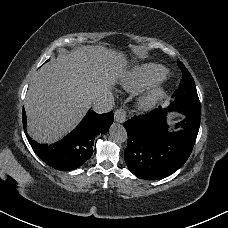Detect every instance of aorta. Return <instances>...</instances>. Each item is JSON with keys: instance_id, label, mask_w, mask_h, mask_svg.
I'll return each mask as SVG.
<instances>
[{"instance_id": "obj_1", "label": "aorta", "mask_w": 228, "mask_h": 228, "mask_svg": "<svg viewBox=\"0 0 228 228\" xmlns=\"http://www.w3.org/2000/svg\"><path fill=\"white\" fill-rule=\"evenodd\" d=\"M110 137L114 142L123 143L127 140V131L121 124L114 123L109 130Z\"/></svg>"}]
</instances>
